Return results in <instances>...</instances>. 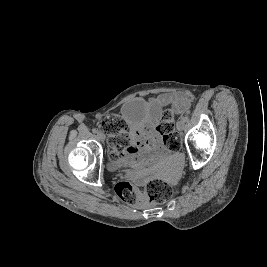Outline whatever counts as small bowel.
I'll list each match as a JSON object with an SVG mask.
<instances>
[{"label": "small bowel", "mask_w": 267, "mask_h": 267, "mask_svg": "<svg viewBox=\"0 0 267 267\" xmlns=\"http://www.w3.org/2000/svg\"><path fill=\"white\" fill-rule=\"evenodd\" d=\"M190 100V96L183 93L163 94L150 99L148 117L144 121L133 123L130 128V137L133 141L131 148L138 155L132 158L131 167L123 171L125 178L136 182L142 181L150 172L171 161L170 156L161 148L154 127L163 106L171 105L175 110L182 112L189 107ZM149 147H157L159 153L151 156L142 153Z\"/></svg>", "instance_id": "small-bowel-1"}]
</instances>
